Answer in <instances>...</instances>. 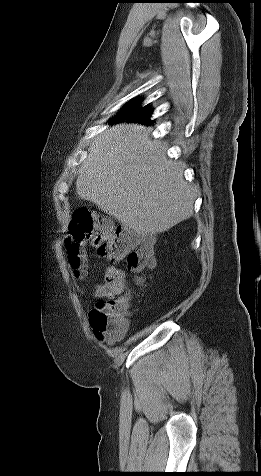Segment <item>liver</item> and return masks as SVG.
I'll use <instances>...</instances> for the list:
<instances>
[{
  "instance_id": "1",
  "label": "liver",
  "mask_w": 261,
  "mask_h": 476,
  "mask_svg": "<svg viewBox=\"0 0 261 476\" xmlns=\"http://www.w3.org/2000/svg\"><path fill=\"white\" fill-rule=\"evenodd\" d=\"M144 125L120 123L99 134L82 161L76 192L137 234L167 231L194 212L195 188L167 147Z\"/></svg>"
}]
</instances>
